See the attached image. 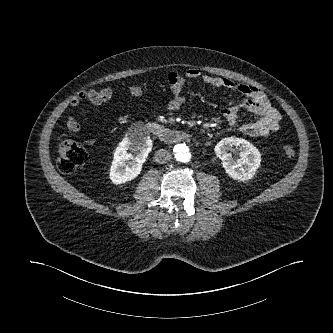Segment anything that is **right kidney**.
Here are the masks:
<instances>
[{
  "instance_id": "1",
  "label": "right kidney",
  "mask_w": 333,
  "mask_h": 333,
  "mask_svg": "<svg viewBox=\"0 0 333 333\" xmlns=\"http://www.w3.org/2000/svg\"><path fill=\"white\" fill-rule=\"evenodd\" d=\"M152 148L149 136L130 135L125 137L116 148L109 177L113 184L119 185L135 179L142 170ZM128 150L136 152L133 157Z\"/></svg>"
}]
</instances>
